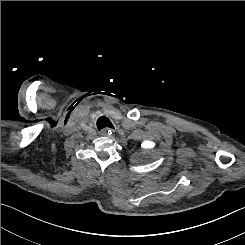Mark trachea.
Wrapping results in <instances>:
<instances>
[{
  "label": "trachea",
  "mask_w": 245,
  "mask_h": 245,
  "mask_svg": "<svg viewBox=\"0 0 245 245\" xmlns=\"http://www.w3.org/2000/svg\"><path fill=\"white\" fill-rule=\"evenodd\" d=\"M97 128L101 130L104 128H114V126L107 117L102 116V117H99L97 120Z\"/></svg>",
  "instance_id": "trachea-1"
}]
</instances>
